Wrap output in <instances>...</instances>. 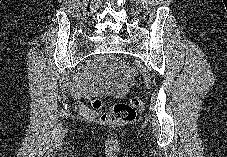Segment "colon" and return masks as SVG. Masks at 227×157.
Here are the masks:
<instances>
[{
  "mask_svg": "<svg viewBox=\"0 0 227 157\" xmlns=\"http://www.w3.org/2000/svg\"><path fill=\"white\" fill-rule=\"evenodd\" d=\"M91 103L95 109H99L103 106V101L100 99H94ZM142 104L143 99L140 96H133L130 100V104L122 102L115 103L108 112L101 116V120L109 124L131 121L136 115L135 108L140 107Z\"/></svg>",
  "mask_w": 227,
  "mask_h": 157,
  "instance_id": "5ec220e1",
  "label": "colon"
}]
</instances>
